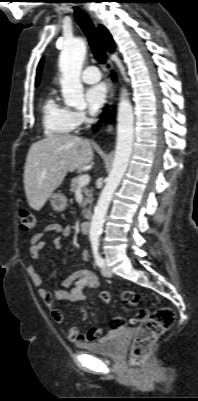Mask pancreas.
Instances as JSON below:
<instances>
[{
  "mask_svg": "<svg viewBox=\"0 0 198 401\" xmlns=\"http://www.w3.org/2000/svg\"><path fill=\"white\" fill-rule=\"evenodd\" d=\"M81 176H77L75 178H73L71 180V184H70V192L75 193L77 191L78 188H80L82 190V192H84L85 194V199L83 201V212L82 215L85 219L90 218L91 216V212L89 209H86L85 207L88 205L92 204L93 201V191L92 189L87 188L86 186H82L79 187V179Z\"/></svg>",
  "mask_w": 198,
  "mask_h": 401,
  "instance_id": "cf45deb5",
  "label": "pancreas"
}]
</instances>
